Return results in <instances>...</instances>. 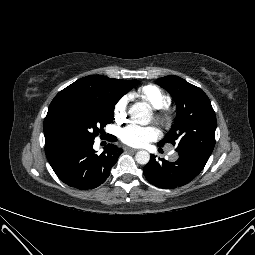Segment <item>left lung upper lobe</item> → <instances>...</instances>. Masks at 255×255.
<instances>
[{"label":"left lung upper lobe","mask_w":255,"mask_h":255,"mask_svg":"<svg viewBox=\"0 0 255 255\" xmlns=\"http://www.w3.org/2000/svg\"><path fill=\"white\" fill-rule=\"evenodd\" d=\"M177 105L175 125L158 146L169 142L176 151H190L210 156L215 145L216 116L207 95L198 87L177 76L159 78Z\"/></svg>","instance_id":"left-lung-upper-lobe-1"}]
</instances>
